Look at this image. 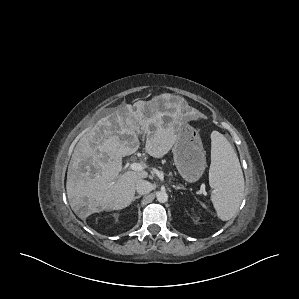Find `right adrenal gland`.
I'll return each mask as SVG.
<instances>
[{
  "label": "right adrenal gland",
  "mask_w": 299,
  "mask_h": 299,
  "mask_svg": "<svg viewBox=\"0 0 299 299\" xmlns=\"http://www.w3.org/2000/svg\"><path fill=\"white\" fill-rule=\"evenodd\" d=\"M141 197H142V195L134 196L133 201H135L136 199H139V198H141Z\"/></svg>",
  "instance_id": "2a0ac1e0"
}]
</instances>
